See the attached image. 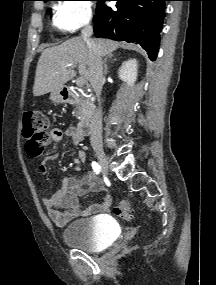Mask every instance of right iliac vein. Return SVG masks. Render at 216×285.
<instances>
[{
  "instance_id": "1",
  "label": "right iliac vein",
  "mask_w": 216,
  "mask_h": 285,
  "mask_svg": "<svg viewBox=\"0 0 216 285\" xmlns=\"http://www.w3.org/2000/svg\"><path fill=\"white\" fill-rule=\"evenodd\" d=\"M95 153L97 155L102 172L105 175H108V161H107L105 153L103 152L101 148H95Z\"/></svg>"
}]
</instances>
